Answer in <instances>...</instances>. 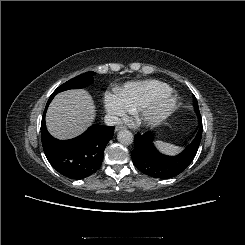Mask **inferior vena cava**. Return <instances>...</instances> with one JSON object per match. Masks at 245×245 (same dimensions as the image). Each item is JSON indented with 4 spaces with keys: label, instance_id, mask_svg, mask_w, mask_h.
<instances>
[{
    "label": "inferior vena cava",
    "instance_id": "obj_1",
    "mask_svg": "<svg viewBox=\"0 0 245 245\" xmlns=\"http://www.w3.org/2000/svg\"><path fill=\"white\" fill-rule=\"evenodd\" d=\"M105 124L108 126H115L121 124V119L113 114H107L104 118Z\"/></svg>",
    "mask_w": 245,
    "mask_h": 245
}]
</instances>
